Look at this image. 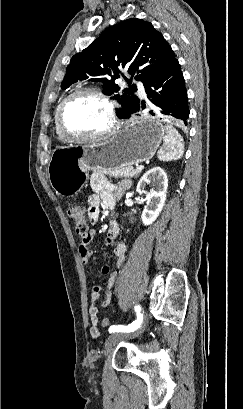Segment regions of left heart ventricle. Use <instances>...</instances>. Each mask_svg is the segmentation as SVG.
Listing matches in <instances>:
<instances>
[{"instance_id": "b2bd125f", "label": "left heart ventricle", "mask_w": 243, "mask_h": 409, "mask_svg": "<svg viewBox=\"0 0 243 409\" xmlns=\"http://www.w3.org/2000/svg\"><path fill=\"white\" fill-rule=\"evenodd\" d=\"M64 124L70 133L77 135L102 132L110 124L108 109L94 96L79 95L68 104Z\"/></svg>"}]
</instances>
